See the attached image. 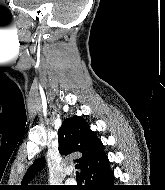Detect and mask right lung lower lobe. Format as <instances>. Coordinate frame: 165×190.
<instances>
[{"label": "right lung lower lobe", "instance_id": "98d812e1", "mask_svg": "<svg viewBox=\"0 0 165 190\" xmlns=\"http://www.w3.org/2000/svg\"><path fill=\"white\" fill-rule=\"evenodd\" d=\"M84 181L83 190H119L113 184L114 173L109 168L107 156L100 159L94 167L88 168L81 173Z\"/></svg>", "mask_w": 165, "mask_h": 190}]
</instances>
